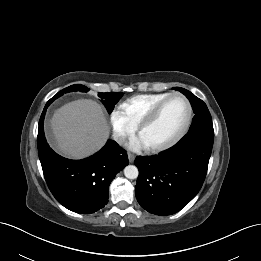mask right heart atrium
<instances>
[{"label": "right heart atrium", "instance_id": "obj_1", "mask_svg": "<svg viewBox=\"0 0 261 261\" xmlns=\"http://www.w3.org/2000/svg\"><path fill=\"white\" fill-rule=\"evenodd\" d=\"M113 136L118 143H123L135 132V126L128 120L122 110L115 108L109 116Z\"/></svg>", "mask_w": 261, "mask_h": 261}]
</instances>
